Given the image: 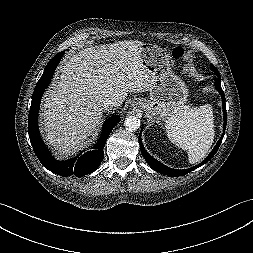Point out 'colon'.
I'll return each mask as SVG.
<instances>
[{
	"instance_id": "obj_1",
	"label": "colon",
	"mask_w": 253,
	"mask_h": 253,
	"mask_svg": "<svg viewBox=\"0 0 253 253\" xmlns=\"http://www.w3.org/2000/svg\"><path fill=\"white\" fill-rule=\"evenodd\" d=\"M183 55H184V50L182 48L175 47L172 49V56L175 59H180L183 57Z\"/></svg>"
}]
</instances>
